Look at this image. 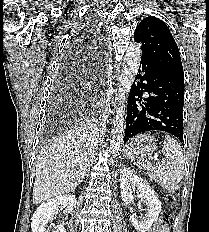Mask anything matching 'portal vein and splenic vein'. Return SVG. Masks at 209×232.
Returning <instances> with one entry per match:
<instances>
[{"label": "portal vein and splenic vein", "instance_id": "18ae733b", "mask_svg": "<svg viewBox=\"0 0 209 232\" xmlns=\"http://www.w3.org/2000/svg\"><path fill=\"white\" fill-rule=\"evenodd\" d=\"M159 159H158V157L157 156H155L154 157V161H158Z\"/></svg>", "mask_w": 209, "mask_h": 232}]
</instances>
